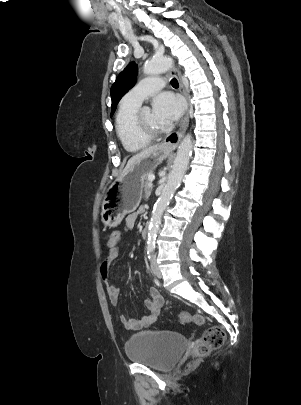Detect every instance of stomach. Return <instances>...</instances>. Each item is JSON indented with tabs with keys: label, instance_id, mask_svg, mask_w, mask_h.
<instances>
[{
	"label": "stomach",
	"instance_id": "0dacf381",
	"mask_svg": "<svg viewBox=\"0 0 301 405\" xmlns=\"http://www.w3.org/2000/svg\"><path fill=\"white\" fill-rule=\"evenodd\" d=\"M171 149L160 145L118 178L108 189L102 204V221L112 226L118 225L124 216L133 212L139 205L147 175L165 159Z\"/></svg>",
	"mask_w": 301,
	"mask_h": 405
}]
</instances>
